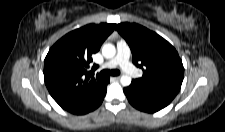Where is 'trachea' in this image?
I'll return each mask as SVG.
<instances>
[{
  "instance_id": "1",
  "label": "trachea",
  "mask_w": 225,
  "mask_h": 132,
  "mask_svg": "<svg viewBox=\"0 0 225 132\" xmlns=\"http://www.w3.org/2000/svg\"><path fill=\"white\" fill-rule=\"evenodd\" d=\"M118 76L120 75V71L119 70H102L100 72V76L102 77H107V76Z\"/></svg>"
}]
</instances>
